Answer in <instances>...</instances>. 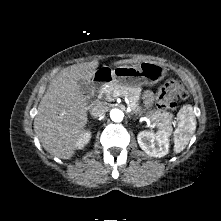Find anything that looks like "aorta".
<instances>
[{"mask_svg": "<svg viewBox=\"0 0 221 221\" xmlns=\"http://www.w3.org/2000/svg\"><path fill=\"white\" fill-rule=\"evenodd\" d=\"M124 113L119 109H112L110 111V118L114 122H121L123 120Z\"/></svg>", "mask_w": 221, "mask_h": 221, "instance_id": "1", "label": "aorta"}]
</instances>
